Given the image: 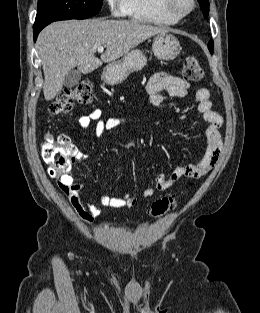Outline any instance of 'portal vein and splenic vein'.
I'll return each instance as SVG.
<instances>
[{
    "label": "portal vein and splenic vein",
    "mask_w": 260,
    "mask_h": 313,
    "mask_svg": "<svg viewBox=\"0 0 260 313\" xmlns=\"http://www.w3.org/2000/svg\"><path fill=\"white\" fill-rule=\"evenodd\" d=\"M95 51H98V52H103L104 51V47L103 46H98Z\"/></svg>",
    "instance_id": "obj_1"
}]
</instances>
